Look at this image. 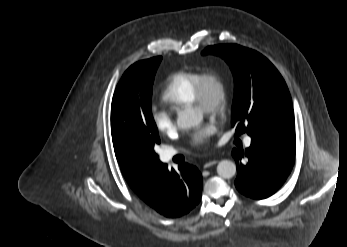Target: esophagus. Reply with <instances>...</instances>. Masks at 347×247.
I'll return each mask as SVG.
<instances>
[{
    "label": "esophagus",
    "instance_id": "34e87169",
    "mask_svg": "<svg viewBox=\"0 0 347 247\" xmlns=\"http://www.w3.org/2000/svg\"><path fill=\"white\" fill-rule=\"evenodd\" d=\"M218 163V160H209L204 164V168L207 169L213 165H216Z\"/></svg>",
    "mask_w": 347,
    "mask_h": 247
}]
</instances>
